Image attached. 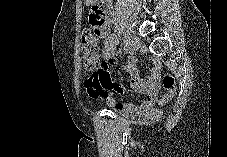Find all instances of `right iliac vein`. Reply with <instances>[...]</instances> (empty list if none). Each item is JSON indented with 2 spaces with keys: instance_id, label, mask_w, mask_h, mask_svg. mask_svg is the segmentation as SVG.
<instances>
[{
  "instance_id": "obj_1",
  "label": "right iliac vein",
  "mask_w": 227,
  "mask_h": 157,
  "mask_svg": "<svg viewBox=\"0 0 227 157\" xmlns=\"http://www.w3.org/2000/svg\"><path fill=\"white\" fill-rule=\"evenodd\" d=\"M126 40L128 42V45L130 46L131 50H136L139 48L140 40L137 37L128 35L126 37Z\"/></svg>"
}]
</instances>
